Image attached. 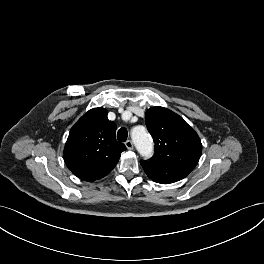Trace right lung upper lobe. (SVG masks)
Masks as SVG:
<instances>
[{
  "label": "right lung upper lobe",
  "mask_w": 264,
  "mask_h": 264,
  "mask_svg": "<svg viewBox=\"0 0 264 264\" xmlns=\"http://www.w3.org/2000/svg\"><path fill=\"white\" fill-rule=\"evenodd\" d=\"M108 111L94 108L71 128L64 148V161L77 177L92 182L110 173L126 150L115 137L116 124Z\"/></svg>",
  "instance_id": "right-lung-upper-lobe-1"
}]
</instances>
